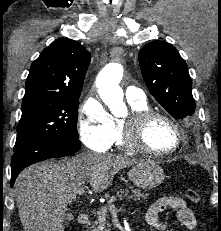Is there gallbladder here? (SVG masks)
Segmentation results:
<instances>
[{"label": "gallbladder", "mask_w": 221, "mask_h": 231, "mask_svg": "<svg viewBox=\"0 0 221 231\" xmlns=\"http://www.w3.org/2000/svg\"><path fill=\"white\" fill-rule=\"evenodd\" d=\"M73 219H74V216H73L72 213H67V214L65 215V220H66V221H71V220H73Z\"/></svg>", "instance_id": "gallbladder-1"}]
</instances>
